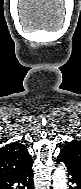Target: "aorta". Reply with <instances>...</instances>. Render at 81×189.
<instances>
[{
  "label": "aorta",
  "mask_w": 81,
  "mask_h": 189,
  "mask_svg": "<svg viewBox=\"0 0 81 189\" xmlns=\"http://www.w3.org/2000/svg\"><path fill=\"white\" fill-rule=\"evenodd\" d=\"M53 189H67V178L64 166L57 167L53 174Z\"/></svg>",
  "instance_id": "obj_1"
}]
</instances>
